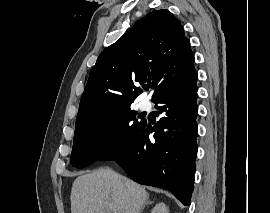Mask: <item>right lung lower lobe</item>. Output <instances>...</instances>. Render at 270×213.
<instances>
[{
  "mask_svg": "<svg viewBox=\"0 0 270 213\" xmlns=\"http://www.w3.org/2000/svg\"><path fill=\"white\" fill-rule=\"evenodd\" d=\"M194 67L153 100L162 115L151 128H139L101 161L114 160L134 181L170 190L184 205H190L194 189L198 127L197 87ZM154 133V139L148 138Z\"/></svg>",
  "mask_w": 270,
  "mask_h": 213,
  "instance_id": "obj_1",
  "label": "right lung lower lobe"
}]
</instances>
